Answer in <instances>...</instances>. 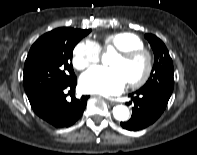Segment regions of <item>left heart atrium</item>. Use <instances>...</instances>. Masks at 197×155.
Wrapping results in <instances>:
<instances>
[{"label": "left heart atrium", "mask_w": 197, "mask_h": 155, "mask_svg": "<svg viewBox=\"0 0 197 155\" xmlns=\"http://www.w3.org/2000/svg\"><path fill=\"white\" fill-rule=\"evenodd\" d=\"M126 79L122 72L113 67H93L80 77L82 91L103 96L116 95L123 91Z\"/></svg>", "instance_id": "39dd6f15"}]
</instances>
